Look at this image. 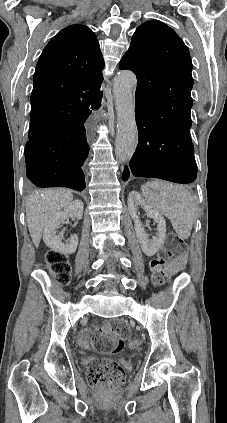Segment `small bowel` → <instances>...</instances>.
<instances>
[{"instance_id": "1", "label": "small bowel", "mask_w": 227, "mask_h": 423, "mask_svg": "<svg viewBox=\"0 0 227 423\" xmlns=\"http://www.w3.org/2000/svg\"><path fill=\"white\" fill-rule=\"evenodd\" d=\"M182 265V262L181 261H179L178 263H177V266H181ZM84 342V340L82 339V343Z\"/></svg>"}]
</instances>
